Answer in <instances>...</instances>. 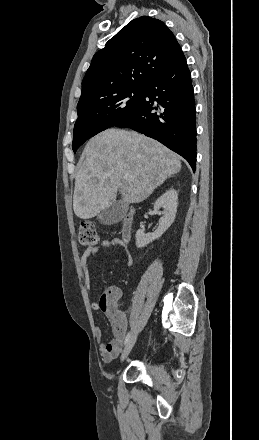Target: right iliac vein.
<instances>
[{
	"label": "right iliac vein",
	"instance_id": "right-iliac-vein-1",
	"mask_svg": "<svg viewBox=\"0 0 259 440\" xmlns=\"http://www.w3.org/2000/svg\"><path fill=\"white\" fill-rule=\"evenodd\" d=\"M137 337H138V331H135L133 333V335L130 337L127 345L125 346V348L122 352L121 359H120L121 362H123L128 357L130 351L132 350V348L137 340Z\"/></svg>",
	"mask_w": 259,
	"mask_h": 440
}]
</instances>
